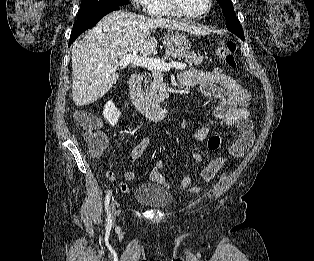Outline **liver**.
Masks as SVG:
<instances>
[{
    "instance_id": "1",
    "label": "liver",
    "mask_w": 314,
    "mask_h": 261,
    "mask_svg": "<svg viewBox=\"0 0 314 261\" xmlns=\"http://www.w3.org/2000/svg\"><path fill=\"white\" fill-rule=\"evenodd\" d=\"M193 33L191 25L168 19H152L128 11L106 15L72 47V98L84 106L104 96L120 78L119 60L130 53L150 55L157 48L152 29Z\"/></svg>"
}]
</instances>
